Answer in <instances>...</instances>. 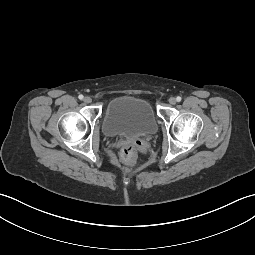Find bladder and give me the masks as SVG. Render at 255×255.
<instances>
[{
	"label": "bladder",
	"instance_id": "bladder-1",
	"mask_svg": "<svg viewBox=\"0 0 255 255\" xmlns=\"http://www.w3.org/2000/svg\"><path fill=\"white\" fill-rule=\"evenodd\" d=\"M103 130L111 137H145L157 131V119L151 104L134 96L111 99L104 111Z\"/></svg>",
	"mask_w": 255,
	"mask_h": 255
}]
</instances>
